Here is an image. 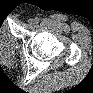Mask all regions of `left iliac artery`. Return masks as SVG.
Here are the masks:
<instances>
[{
	"label": "left iliac artery",
	"mask_w": 93,
	"mask_h": 93,
	"mask_svg": "<svg viewBox=\"0 0 93 93\" xmlns=\"http://www.w3.org/2000/svg\"><path fill=\"white\" fill-rule=\"evenodd\" d=\"M34 22H35V23H39V18L36 17V18L34 19Z\"/></svg>",
	"instance_id": "left-iliac-artery-1"
}]
</instances>
